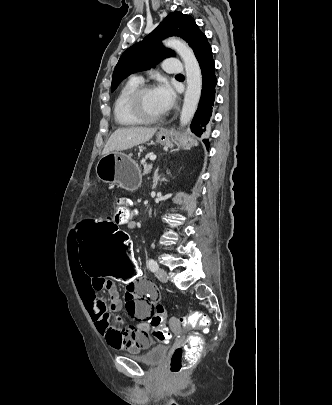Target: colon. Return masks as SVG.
Returning a JSON list of instances; mask_svg holds the SVG:
<instances>
[{"label": "colon", "instance_id": "1", "mask_svg": "<svg viewBox=\"0 0 332 405\" xmlns=\"http://www.w3.org/2000/svg\"><path fill=\"white\" fill-rule=\"evenodd\" d=\"M135 206L127 196H119L115 203L118 220L127 221L135 214ZM78 262H83L85 275H105L106 281H118L119 287H130L139 280L140 267L132 258V236L116 225L115 220H78ZM148 288H155L149 286ZM147 318L151 326V336L157 342L170 340L169 327L164 320L170 314L169 307L156 306ZM209 315L194 311L179 318L181 328L200 327L208 331ZM145 338V337H142ZM202 336L192 333L186 342L174 348L170 371L174 375L182 374L199 357Z\"/></svg>", "mask_w": 332, "mask_h": 405}]
</instances>
